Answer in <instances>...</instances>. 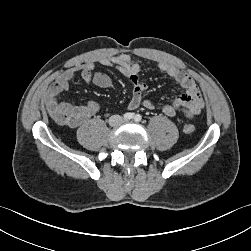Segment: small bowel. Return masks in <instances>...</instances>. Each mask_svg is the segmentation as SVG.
Returning a JSON list of instances; mask_svg holds the SVG:
<instances>
[{
    "mask_svg": "<svg viewBox=\"0 0 251 251\" xmlns=\"http://www.w3.org/2000/svg\"><path fill=\"white\" fill-rule=\"evenodd\" d=\"M98 63L104 67L115 68L130 80L132 94L128 103L129 109L134 110L141 104L147 109L155 107L151 99L143 101V93L147 89V84L139 78L142 69L141 60L122 53L102 57L98 60ZM156 67L184 89V93L178 95L172 102L162 106V112L169 117L182 114L189 119H193L200 114L204 108V100L193 78L184 70L167 62H157ZM77 72L86 83H92L104 89L112 86L111 78L105 73L96 72L93 62L83 63L60 74L48 87L43 101L49 114L56 122L70 127L82 125L99 111V105L95 101H88L84 105H72L59 100L60 94L69 89L70 83Z\"/></svg>",
    "mask_w": 251,
    "mask_h": 251,
    "instance_id": "small-bowel-1",
    "label": "small bowel"
}]
</instances>
